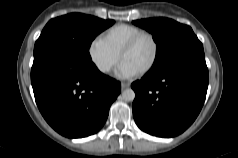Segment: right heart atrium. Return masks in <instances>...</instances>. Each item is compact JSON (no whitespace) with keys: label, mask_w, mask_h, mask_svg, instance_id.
Masks as SVG:
<instances>
[{"label":"right heart atrium","mask_w":238,"mask_h":158,"mask_svg":"<svg viewBox=\"0 0 238 158\" xmlns=\"http://www.w3.org/2000/svg\"><path fill=\"white\" fill-rule=\"evenodd\" d=\"M88 52L91 61L102 73H109L119 61V54L102 37H96L91 41Z\"/></svg>","instance_id":"d8ad5b80"}]
</instances>
